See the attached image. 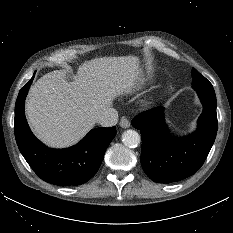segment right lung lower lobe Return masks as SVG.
<instances>
[{"mask_svg":"<svg viewBox=\"0 0 233 233\" xmlns=\"http://www.w3.org/2000/svg\"><path fill=\"white\" fill-rule=\"evenodd\" d=\"M34 76L21 88L15 104V138L20 152L44 181L60 186L80 185L99 169L116 127L92 129L78 144L50 149L31 132L24 113L25 98Z\"/></svg>","mask_w":233,"mask_h":233,"instance_id":"right-lung-lower-lobe-1","label":"right lung lower lobe"}]
</instances>
